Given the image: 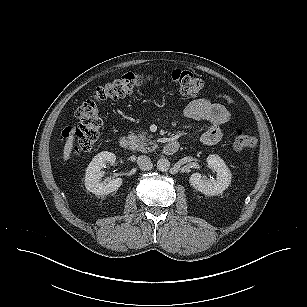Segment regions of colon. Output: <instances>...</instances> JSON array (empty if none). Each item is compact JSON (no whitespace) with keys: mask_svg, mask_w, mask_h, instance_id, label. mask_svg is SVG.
<instances>
[{"mask_svg":"<svg viewBox=\"0 0 307 307\" xmlns=\"http://www.w3.org/2000/svg\"><path fill=\"white\" fill-rule=\"evenodd\" d=\"M150 74L126 73L118 78L108 81L98 87L91 98L84 101L76 111L79 125L67 129L64 137L74 138V154H82L90 151L101 135L103 125L102 118L96 102L117 100L134 94L140 86L151 82ZM170 80L176 86L182 96L194 97L200 94L204 88L203 80L195 74L175 69L170 73ZM258 144V138L254 134H244L236 130L233 135V148L236 151L251 149Z\"/></svg>","mask_w":307,"mask_h":307,"instance_id":"5ec220e1","label":"colon"}]
</instances>
